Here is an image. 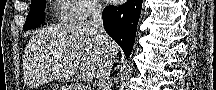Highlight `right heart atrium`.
<instances>
[{
    "label": "right heart atrium",
    "mask_w": 216,
    "mask_h": 90,
    "mask_svg": "<svg viewBox=\"0 0 216 90\" xmlns=\"http://www.w3.org/2000/svg\"><path fill=\"white\" fill-rule=\"evenodd\" d=\"M62 3H65V6H76L70 8L73 13L66 15L68 20H87L97 12L98 2L95 0H62Z\"/></svg>",
    "instance_id": "d8ad5b80"
}]
</instances>
